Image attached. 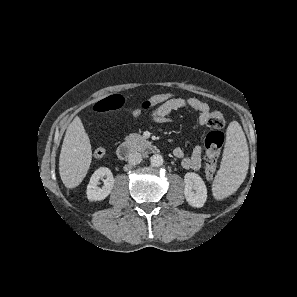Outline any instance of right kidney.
Returning <instances> with one entry per match:
<instances>
[{"label": "right kidney", "mask_w": 297, "mask_h": 297, "mask_svg": "<svg viewBox=\"0 0 297 297\" xmlns=\"http://www.w3.org/2000/svg\"><path fill=\"white\" fill-rule=\"evenodd\" d=\"M106 177L102 188L98 187L99 180ZM115 179L109 168L101 167L97 169L91 176L87 185V198L89 201L104 200L112 191Z\"/></svg>", "instance_id": "obj_1"}]
</instances>
